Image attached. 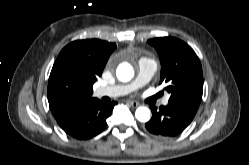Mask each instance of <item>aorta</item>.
Returning a JSON list of instances; mask_svg holds the SVG:
<instances>
[{"label": "aorta", "mask_w": 249, "mask_h": 165, "mask_svg": "<svg viewBox=\"0 0 249 165\" xmlns=\"http://www.w3.org/2000/svg\"><path fill=\"white\" fill-rule=\"evenodd\" d=\"M116 76L122 82L130 81L134 76V68L128 63H122L116 70ZM135 117L140 122H148L151 118V112L147 107H138Z\"/></svg>", "instance_id": "1"}]
</instances>
